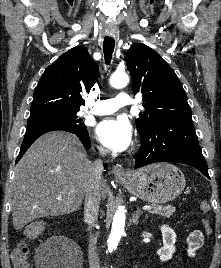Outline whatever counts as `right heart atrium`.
Listing matches in <instances>:
<instances>
[{
    "label": "right heart atrium",
    "instance_id": "right-heart-atrium-1",
    "mask_svg": "<svg viewBox=\"0 0 221 268\" xmlns=\"http://www.w3.org/2000/svg\"><path fill=\"white\" fill-rule=\"evenodd\" d=\"M97 149L99 152H101V153L103 152V149L101 147H97Z\"/></svg>",
    "mask_w": 221,
    "mask_h": 268
}]
</instances>
